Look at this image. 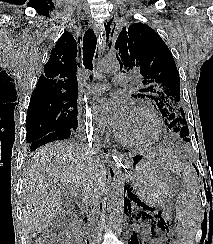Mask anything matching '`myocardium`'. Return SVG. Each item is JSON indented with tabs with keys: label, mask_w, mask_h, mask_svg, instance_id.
Segmentation results:
<instances>
[{
	"label": "myocardium",
	"mask_w": 213,
	"mask_h": 244,
	"mask_svg": "<svg viewBox=\"0 0 213 244\" xmlns=\"http://www.w3.org/2000/svg\"><path fill=\"white\" fill-rule=\"evenodd\" d=\"M132 112H143L147 114L152 119L155 125V134L151 138L146 140L132 141L125 139L119 133H116L117 140L120 143L131 147H148L157 143L162 137V123L155 110L152 107L143 104L133 107Z\"/></svg>",
	"instance_id": "obj_1"
}]
</instances>
